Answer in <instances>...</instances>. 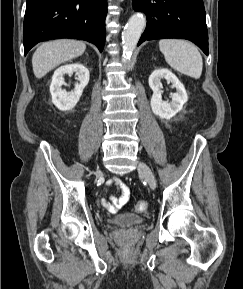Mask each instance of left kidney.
Returning a JSON list of instances; mask_svg holds the SVG:
<instances>
[{"label":"left kidney","instance_id":"5707ae66","mask_svg":"<svg viewBox=\"0 0 243 289\" xmlns=\"http://www.w3.org/2000/svg\"><path fill=\"white\" fill-rule=\"evenodd\" d=\"M161 79H165L168 83H172V87L176 88V93L170 94V98L172 99L171 102L162 100ZM149 86L153 91L150 102L152 111L161 119H171L183 109V105L188 100L184 85L168 69H157L153 71L149 77Z\"/></svg>","mask_w":243,"mask_h":289}]
</instances>
